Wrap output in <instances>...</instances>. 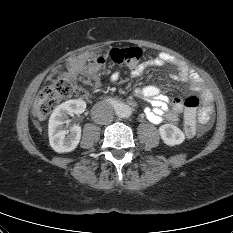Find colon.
<instances>
[{
	"label": "colon",
	"instance_id": "5ec220e1",
	"mask_svg": "<svg viewBox=\"0 0 233 233\" xmlns=\"http://www.w3.org/2000/svg\"><path fill=\"white\" fill-rule=\"evenodd\" d=\"M143 56V51L139 47H123L113 48L108 53V58L120 65L134 66L138 64ZM105 66V58L96 56L90 59L88 65V76L92 79L98 77ZM77 96L85 98L87 92L81 86L72 82L65 75H59L53 83L44 87L38 93L35 104V114L43 118L45 117L55 105L66 97ZM201 99L198 96H189L184 100L185 107V134L187 137H193L195 132L196 113Z\"/></svg>",
	"mask_w": 233,
	"mask_h": 233
}]
</instances>
